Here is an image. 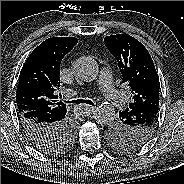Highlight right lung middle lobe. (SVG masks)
Instances as JSON below:
<instances>
[{"label":"right lung middle lobe","mask_w":184,"mask_h":184,"mask_svg":"<svg viewBox=\"0 0 184 184\" xmlns=\"http://www.w3.org/2000/svg\"><path fill=\"white\" fill-rule=\"evenodd\" d=\"M73 138H74V130L68 129V131L66 132L65 136L62 138V141L58 147L42 148L41 151L50 155H56V154L62 153L71 146Z\"/></svg>","instance_id":"right-lung-middle-lobe-1"}]
</instances>
